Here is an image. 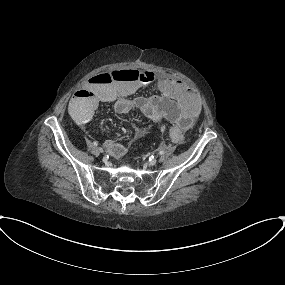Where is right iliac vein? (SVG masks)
Instances as JSON below:
<instances>
[{
    "mask_svg": "<svg viewBox=\"0 0 285 285\" xmlns=\"http://www.w3.org/2000/svg\"><path fill=\"white\" fill-rule=\"evenodd\" d=\"M96 150L100 154H102L104 152V149L102 147H97Z\"/></svg>",
    "mask_w": 285,
    "mask_h": 285,
    "instance_id": "1",
    "label": "right iliac vein"
}]
</instances>
